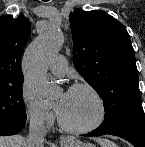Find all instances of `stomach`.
I'll return each mask as SVG.
<instances>
[{"label":"stomach","instance_id":"stomach-1","mask_svg":"<svg viewBox=\"0 0 145 147\" xmlns=\"http://www.w3.org/2000/svg\"><path fill=\"white\" fill-rule=\"evenodd\" d=\"M63 147H95V146L90 143H83L79 140H72L69 143L64 144Z\"/></svg>","mask_w":145,"mask_h":147}]
</instances>
